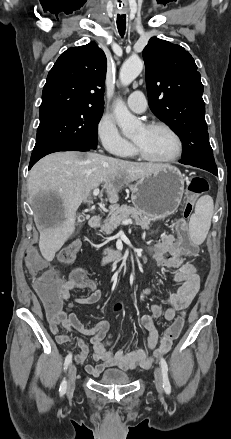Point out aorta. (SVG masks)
I'll use <instances>...</instances> for the list:
<instances>
[{
  "mask_svg": "<svg viewBox=\"0 0 231 439\" xmlns=\"http://www.w3.org/2000/svg\"><path fill=\"white\" fill-rule=\"evenodd\" d=\"M143 69V62L139 57H131L126 60L119 73V79L123 86H128ZM116 121L127 137L132 136L139 129L141 123L128 110L122 100H118L114 107Z\"/></svg>",
  "mask_w": 231,
  "mask_h": 439,
  "instance_id": "obj_1",
  "label": "aorta"
}]
</instances>
